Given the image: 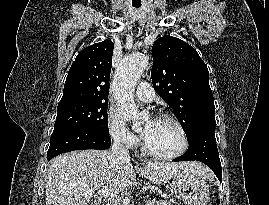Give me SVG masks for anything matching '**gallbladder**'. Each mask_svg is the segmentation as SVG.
I'll return each mask as SVG.
<instances>
[{"label":"gallbladder","mask_w":269,"mask_h":205,"mask_svg":"<svg viewBox=\"0 0 269 205\" xmlns=\"http://www.w3.org/2000/svg\"><path fill=\"white\" fill-rule=\"evenodd\" d=\"M92 205H98L97 203H94V204H92Z\"/></svg>","instance_id":"obj_1"}]
</instances>
